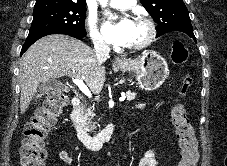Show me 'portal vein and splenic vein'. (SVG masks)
I'll list each match as a JSON object with an SVG mask.
<instances>
[{
  "mask_svg": "<svg viewBox=\"0 0 227 166\" xmlns=\"http://www.w3.org/2000/svg\"><path fill=\"white\" fill-rule=\"evenodd\" d=\"M73 83L80 89V91L82 93H84L88 98H92V94L90 92V90L88 89V87L84 84L83 80L81 79H72ZM125 96H122L119 100L120 101H124L125 100Z\"/></svg>",
  "mask_w": 227,
  "mask_h": 166,
  "instance_id": "18ae733b",
  "label": "portal vein and splenic vein"
}]
</instances>
